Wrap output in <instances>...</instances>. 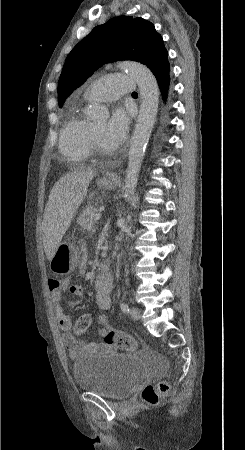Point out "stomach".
Returning <instances> with one entry per match:
<instances>
[{
	"label": "stomach",
	"instance_id": "obj_1",
	"mask_svg": "<svg viewBox=\"0 0 245 450\" xmlns=\"http://www.w3.org/2000/svg\"><path fill=\"white\" fill-rule=\"evenodd\" d=\"M99 185L105 189H111L114 183L109 180H101ZM78 262L79 253L76 247L70 242H62L50 261V269L56 274L66 275L75 269Z\"/></svg>",
	"mask_w": 245,
	"mask_h": 450
}]
</instances>
